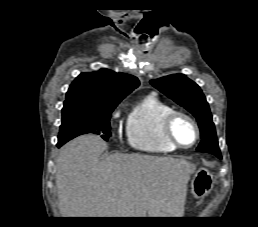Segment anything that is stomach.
<instances>
[{
  "instance_id": "0dacf381",
  "label": "stomach",
  "mask_w": 258,
  "mask_h": 227,
  "mask_svg": "<svg viewBox=\"0 0 258 227\" xmlns=\"http://www.w3.org/2000/svg\"><path fill=\"white\" fill-rule=\"evenodd\" d=\"M191 194L200 199L205 197L214 186L213 174L206 168L198 169L191 180Z\"/></svg>"
}]
</instances>
